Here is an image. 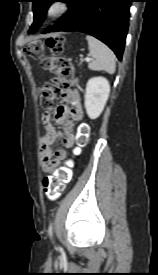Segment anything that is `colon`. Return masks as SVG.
I'll return each instance as SVG.
<instances>
[{"mask_svg":"<svg viewBox=\"0 0 158 275\" xmlns=\"http://www.w3.org/2000/svg\"><path fill=\"white\" fill-rule=\"evenodd\" d=\"M64 47V39L61 36H50L46 39L30 41L25 46L26 53L33 59L40 60L44 70L55 76L52 83L41 87V105L45 109L53 106L54 102L63 94L67 88V79L73 73L71 61L61 56ZM48 50L51 56H45L44 51ZM89 129L86 125L81 126L79 144L84 145L88 137ZM72 170L70 165L60 167L53 173L46 175L42 180V189L50 200L57 199L70 182Z\"/></svg>","mask_w":158,"mask_h":275,"instance_id":"5ec220e1","label":"colon"}]
</instances>
